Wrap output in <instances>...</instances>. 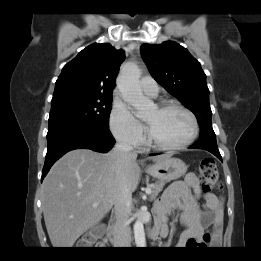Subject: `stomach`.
I'll return each mask as SVG.
<instances>
[{
    "label": "stomach",
    "mask_w": 261,
    "mask_h": 261,
    "mask_svg": "<svg viewBox=\"0 0 261 261\" xmlns=\"http://www.w3.org/2000/svg\"><path fill=\"white\" fill-rule=\"evenodd\" d=\"M146 172L161 182H169L183 176L187 172V166L181 159L168 155L148 166Z\"/></svg>",
    "instance_id": "0dacf381"
}]
</instances>
